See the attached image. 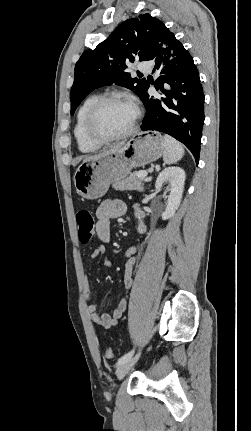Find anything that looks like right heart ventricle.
<instances>
[{
    "label": "right heart ventricle",
    "instance_id": "obj_1",
    "mask_svg": "<svg viewBox=\"0 0 251 431\" xmlns=\"http://www.w3.org/2000/svg\"><path fill=\"white\" fill-rule=\"evenodd\" d=\"M99 98L98 95L94 94L87 97L82 104L80 105L77 114H76V122L74 126V137L77 143V147L82 153H92L100 148L101 144L94 143L90 141L84 130V123L86 115L91 108V106L95 103V101Z\"/></svg>",
    "mask_w": 251,
    "mask_h": 431
}]
</instances>
